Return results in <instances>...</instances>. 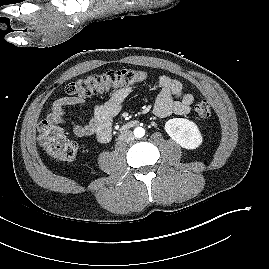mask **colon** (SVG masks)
<instances>
[{"mask_svg":"<svg viewBox=\"0 0 269 269\" xmlns=\"http://www.w3.org/2000/svg\"><path fill=\"white\" fill-rule=\"evenodd\" d=\"M148 77L146 72L132 68L87 75L67 84L65 93L69 97L84 98L102 93L110 88L142 82ZM195 113L201 119L209 118L211 115L209 102L204 100L197 103ZM38 141L45 151L56 159L69 161L74 159L77 154V144L63 134L59 125L48 119L42 121L38 126Z\"/></svg>","mask_w":269,"mask_h":269,"instance_id":"obj_1","label":"colon"}]
</instances>
